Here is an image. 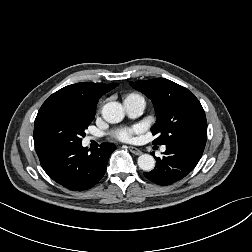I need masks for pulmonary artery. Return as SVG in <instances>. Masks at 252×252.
Here are the masks:
<instances>
[{"instance_id":"pulmonary-artery-1","label":"pulmonary artery","mask_w":252,"mask_h":252,"mask_svg":"<svg viewBox=\"0 0 252 252\" xmlns=\"http://www.w3.org/2000/svg\"><path fill=\"white\" fill-rule=\"evenodd\" d=\"M123 105L127 115L131 118H135L143 114L146 103L139 95H129L124 99ZM91 139H94V137H89L88 141ZM165 150L166 148L163 146L161 151L164 152Z\"/></svg>"}]
</instances>
